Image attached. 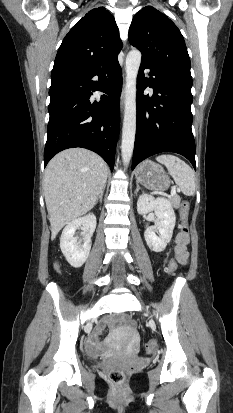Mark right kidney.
Returning <instances> with one entry per match:
<instances>
[{
  "mask_svg": "<svg viewBox=\"0 0 233 413\" xmlns=\"http://www.w3.org/2000/svg\"><path fill=\"white\" fill-rule=\"evenodd\" d=\"M96 217L94 214H88L84 217L71 221L62 231L60 238V248L68 263L75 267H81L87 260L91 249V237L96 228ZM79 228L84 230V243L77 244V238L74 237L75 231Z\"/></svg>",
  "mask_w": 233,
  "mask_h": 413,
  "instance_id": "1",
  "label": "right kidney"
}]
</instances>
